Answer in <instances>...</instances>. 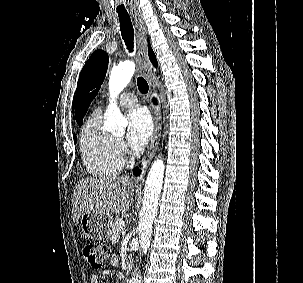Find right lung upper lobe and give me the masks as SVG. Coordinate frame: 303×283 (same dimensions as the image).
<instances>
[{
    "label": "right lung upper lobe",
    "mask_w": 303,
    "mask_h": 283,
    "mask_svg": "<svg viewBox=\"0 0 303 283\" xmlns=\"http://www.w3.org/2000/svg\"><path fill=\"white\" fill-rule=\"evenodd\" d=\"M149 58H150L151 62L154 64V66L157 67V60H156L155 54L150 47H149Z\"/></svg>",
    "instance_id": "obj_1"
}]
</instances>
